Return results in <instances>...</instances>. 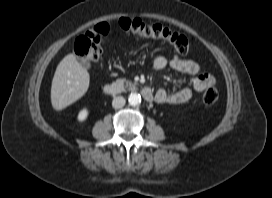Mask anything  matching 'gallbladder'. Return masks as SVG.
Listing matches in <instances>:
<instances>
[{
    "label": "gallbladder",
    "instance_id": "bac80fb5",
    "mask_svg": "<svg viewBox=\"0 0 272 198\" xmlns=\"http://www.w3.org/2000/svg\"><path fill=\"white\" fill-rule=\"evenodd\" d=\"M80 63L86 69H89L91 67L90 62L88 60H86V59H81Z\"/></svg>",
    "mask_w": 272,
    "mask_h": 198
}]
</instances>
